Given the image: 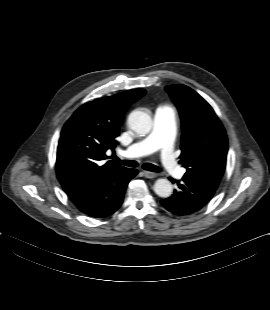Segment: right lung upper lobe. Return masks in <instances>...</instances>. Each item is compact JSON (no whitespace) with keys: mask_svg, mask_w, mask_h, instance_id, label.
I'll return each instance as SVG.
<instances>
[{"mask_svg":"<svg viewBox=\"0 0 270 310\" xmlns=\"http://www.w3.org/2000/svg\"><path fill=\"white\" fill-rule=\"evenodd\" d=\"M143 89L128 90L82 105L65 123L57 149L56 172L59 182L96 177L121 167L107 159L115 148L120 126L129 106L144 96Z\"/></svg>","mask_w":270,"mask_h":310,"instance_id":"cb5924a9","label":"right lung upper lobe"}]
</instances>
